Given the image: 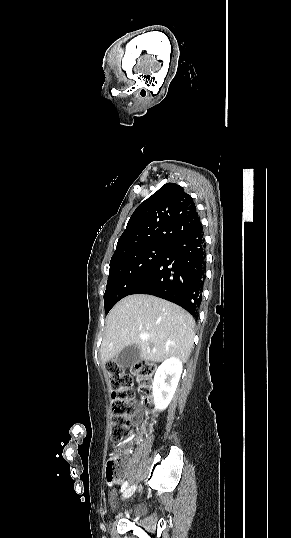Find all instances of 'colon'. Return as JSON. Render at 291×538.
<instances>
[{
  "label": "colon",
  "instance_id": "obj_1",
  "mask_svg": "<svg viewBox=\"0 0 291 538\" xmlns=\"http://www.w3.org/2000/svg\"><path fill=\"white\" fill-rule=\"evenodd\" d=\"M106 370L112 394L110 440L114 446L113 452L107 459L106 476L108 481L114 482L123 476L125 469L117 452V447L129 435L131 418L135 413V407L132 404L134 398L133 379L135 378L140 383L144 404L152 410L153 404L150 396L156 369L152 363L139 361L132 366L131 372H126L116 362H108Z\"/></svg>",
  "mask_w": 291,
  "mask_h": 538
}]
</instances>
